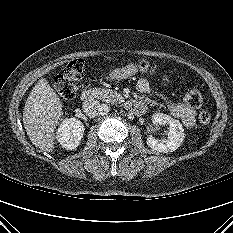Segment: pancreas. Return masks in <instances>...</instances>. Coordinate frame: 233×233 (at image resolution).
Here are the masks:
<instances>
[{"instance_id":"obj_1","label":"pancreas","mask_w":233,"mask_h":233,"mask_svg":"<svg viewBox=\"0 0 233 233\" xmlns=\"http://www.w3.org/2000/svg\"><path fill=\"white\" fill-rule=\"evenodd\" d=\"M91 93L94 98L100 99L102 101H105L107 103H117L121 102L123 100V97L117 93L116 91H113L111 89L106 88H93L91 89Z\"/></svg>"}]
</instances>
